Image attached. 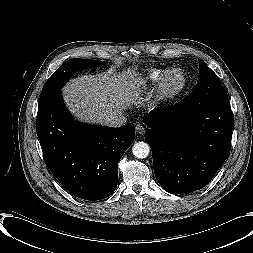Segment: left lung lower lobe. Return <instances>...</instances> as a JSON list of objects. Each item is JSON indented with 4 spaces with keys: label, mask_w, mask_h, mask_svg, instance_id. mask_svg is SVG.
I'll return each instance as SVG.
<instances>
[{
    "label": "left lung lower lobe",
    "mask_w": 253,
    "mask_h": 253,
    "mask_svg": "<svg viewBox=\"0 0 253 253\" xmlns=\"http://www.w3.org/2000/svg\"><path fill=\"white\" fill-rule=\"evenodd\" d=\"M145 123L156 179L169 193L203 188L229 156L233 121L224 88L204 102L190 94L170 109H154Z\"/></svg>",
    "instance_id": "0a47b994"
}]
</instances>
